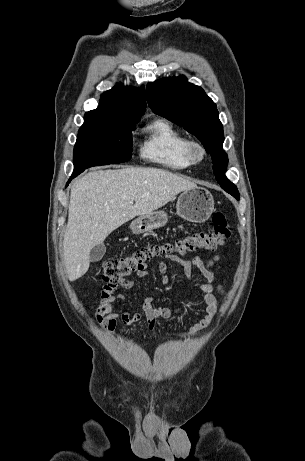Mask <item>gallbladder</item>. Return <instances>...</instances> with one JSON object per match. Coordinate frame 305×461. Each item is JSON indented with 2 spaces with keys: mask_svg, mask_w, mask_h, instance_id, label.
Returning a JSON list of instances; mask_svg holds the SVG:
<instances>
[{
  "mask_svg": "<svg viewBox=\"0 0 305 461\" xmlns=\"http://www.w3.org/2000/svg\"><path fill=\"white\" fill-rule=\"evenodd\" d=\"M106 253V246L104 244H99L93 247L90 251V261L97 262L102 259Z\"/></svg>",
  "mask_w": 305,
  "mask_h": 461,
  "instance_id": "bac80fb5",
  "label": "gallbladder"
}]
</instances>
